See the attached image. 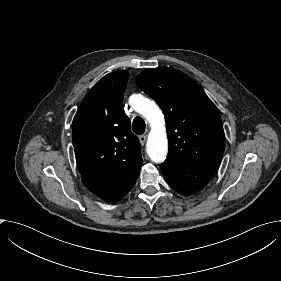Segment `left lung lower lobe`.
<instances>
[{
    "mask_svg": "<svg viewBox=\"0 0 281 281\" xmlns=\"http://www.w3.org/2000/svg\"><path fill=\"white\" fill-rule=\"evenodd\" d=\"M167 183L176 191L190 195L201 190L211 179L217 167L188 166L176 161L166 160L161 165Z\"/></svg>",
    "mask_w": 281,
    "mask_h": 281,
    "instance_id": "left-lung-lower-lobe-1",
    "label": "left lung lower lobe"
}]
</instances>
